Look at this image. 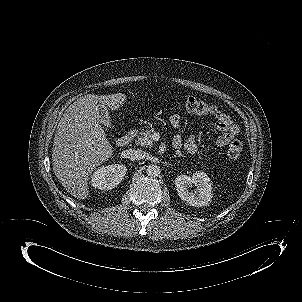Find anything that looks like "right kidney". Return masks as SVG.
Wrapping results in <instances>:
<instances>
[{"mask_svg": "<svg viewBox=\"0 0 302 302\" xmlns=\"http://www.w3.org/2000/svg\"><path fill=\"white\" fill-rule=\"evenodd\" d=\"M120 167V174L118 173L117 178H115L111 183H108L107 181L109 169H107L106 167H100L99 169H97L91 176V183L93 187L98 188L100 190H109L117 186L123 179L127 171L125 166Z\"/></svg>", "mask_w": 302, "mask_h": 302, "instance_id": "ca27d5eb", "label": "right kidney"}]
</instances>
